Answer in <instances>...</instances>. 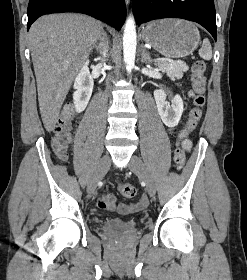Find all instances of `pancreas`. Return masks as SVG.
<instances>
[{
    "label": "pancreas",
    "instance_id": "obj_1",
    "mask_svg": "<svg viewBox=\"0 0 247 280\" xmlns=\"http://www.w3.org/2000/svg\"><path fill=\"white\" fill-rule=\"evenodd\" d=\"M162 72L167 73L170 79H182L183 73L188 71L189 67L183 61H164L158 64Z\"/></svg>",
    "mask_w": 247,
    "mask_h": 280
}]
</instances>
